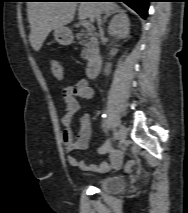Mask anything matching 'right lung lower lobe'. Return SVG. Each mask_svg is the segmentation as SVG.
Returning <instances> with one entry per match:
<instances>
[{
    "instance_id": "1",
    "label": "right lung lower lobe",
    "mask_w": 188,
    "mask_h": 213,
    "mask_svg": "<svg viewBox=\"0 0 188 213\" xmlns=\"http://www.w3.org/2000/svg\"><path fill=\"white\" fill-rule=\"evenodd\" d=\"M110 1H120L129 5L137 13L140 14L142 18H146L148 12V2L150 0H110Z\"/></svg>"
}]
</instances>
